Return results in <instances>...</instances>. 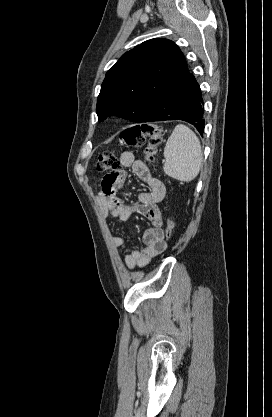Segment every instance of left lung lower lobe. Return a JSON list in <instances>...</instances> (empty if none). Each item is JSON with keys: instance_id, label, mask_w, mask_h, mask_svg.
Listing matches in <instances>:
<instances>
[{"instance_id": "obj_1", "label": "left lung lower lobe", "mask_w": 272, "mask_h": 417, "mask_svg": "<svg viewBox=\"0 0 272 417\" xmlns=\"http://www.w3.org/2000/svg\"><path fill=\"white\" fill-rule=\"evenodd\" d=\"M203 104L199 84L186 68L142 122L183 120L202 135L205 125Z\"/></svg>"}]
</instances>
